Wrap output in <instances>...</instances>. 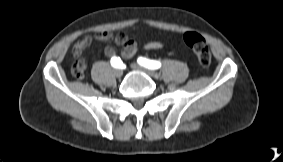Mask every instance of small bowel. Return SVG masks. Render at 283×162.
Here are the masks:
<instances>
[{"label":"small bowel","mask_w":283,"mask_h":162,"mask_svg":"<svg viewBox=\"0 0 283 162\" xmlns=\"http://www.w3.org/2000/svg\"><path fill=\"white\" fill-rule=\"evenodd\" d=\"M101 41L110 44H114L122 47L121 56L125 59L133 57L137 51L138 46L135 41L129 39L125 34H112L107 31H100L95 34L84 35L73 48V57L75 59V66H80L83 70L86 68V62L82 58V53L87 47H89L93 42ZM164 43L161 41H151L142 46L143 50H156L161 49ZM104 53L107 57H112L115 55V49L113 46L109 45L105 48ZM72 68V69H73Z\"/></svg>","instance_id":"c3829d8e"}]
</instances>
